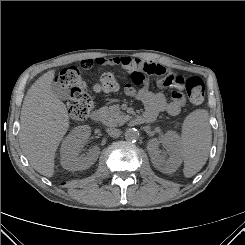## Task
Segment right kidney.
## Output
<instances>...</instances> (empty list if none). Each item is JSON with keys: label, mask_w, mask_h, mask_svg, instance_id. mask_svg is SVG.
Segmentation results:
<instances>
[{"label": "right kidney", "mask_w": 245, "mask_h": 245, "mask_svg": "<svg viewBox=\"0 0 245 245\" xmlns=\"http://www.w3.org/2000/svg\"><path fill=\"white\" fill-rule=\"evenodd\" d=\"M91 134L88 125L74 128L61 145V165L69 171H79L89 168L98 159L100 149L94 146L87 154L79 156L81 146Z\"/></svg>", "instance_id": "ca27d5eb"}]
</instances>
